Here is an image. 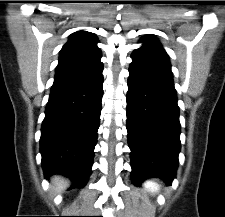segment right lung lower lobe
<instances>
[{
	"label": "right lung lower lobe",
	"instance_id": "98d812e1",
	"mask_svg": "<svg viewBox=\"0 0 225 217\" xmlns=\"http://www.w3.org/2000/svg\"><path fill=\"white\" fill-rule=\"evenodd\" d=\"M103 76L97 80L51 88L40 138L46 176L59 173L83 187L91 173L100 124Z\"/></svg>",
	"mask_w": 225,
	"mask_h": 217
}]
</instances>
